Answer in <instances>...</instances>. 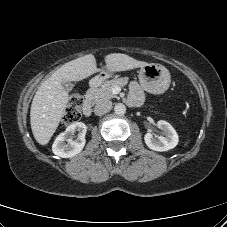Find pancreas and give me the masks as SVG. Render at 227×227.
<instances>
[{"instance_id":"pancreas-1","label":"pancreas","mask_w":227,"mask_h":227,"mask_svg":"<svg viewBox=\"0 0 227 227\" xmlns=\"http://www.w3.org/2000/svg\"><path fill=\"white\" fill-rule=\"evenodd\" d=\"M128 82L127 78H119L104 82L99 88L90 89L87 92V97L94 103H98L103 100H109L117 98L112 92L114 86H124Z\"/></svg>"}]
</instances>
